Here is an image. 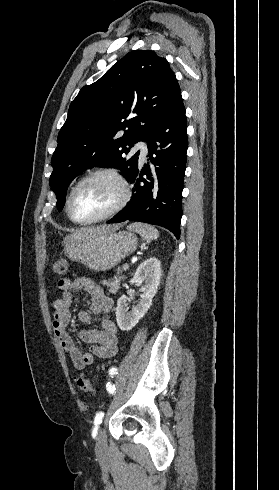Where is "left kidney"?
<instances>
[{"label":"left kidney","instance_id":"left-kidney-1","mask_svg":"<svg viewBox=\"0 0 279 490\" xmlns=\"http://www.w3.org/2000/svg\"><path fill=\"white\" fill-rule=\"evenodd\" d=\"M161 276V262L157 258H149V260H145L138 266L132 280H130V284L141 286L143 294L140 296V302H137L136 306L131 308V312H128L130 310L129 298L121 296L117 300L116 322L120 330L129 332L138 324L141 318H144L150 306H152L155 294H157Z\"/></svg>","mask_w":279,"mask_h":490}]
</instances>
